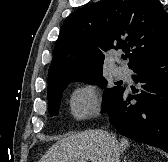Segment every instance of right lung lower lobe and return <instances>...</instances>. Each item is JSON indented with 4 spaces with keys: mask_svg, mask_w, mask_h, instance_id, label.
<instances>
[{
    "mask_svg": "<svg viewBox=\"0 0 168 162\" xmlns=\"http://www.w3.org/2000/svg\"><path fill=\"white\" fill-rule=\"evenodd\" d=\"M131 69L141 89L122 87L107 110L109 120L120 134L168 152V50Z\"/></svg>",
    "mask_w": 168,
    "mask_h": 162,
    "instance_id": "98d812e1",
    "label": "right lung lower lobe"
}]
</instances>
